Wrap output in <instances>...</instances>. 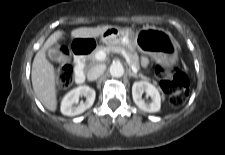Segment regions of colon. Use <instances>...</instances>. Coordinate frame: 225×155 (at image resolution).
<instances>
[{"label": "colon", "mask_w": 225, "mask_h": 155, "mask_svg": "<svg viewBox=\"0 0 225 155\" xmlns=\"http://www.w3.org/2000/svg\"><path fill=\"white\" fill-rule=\"evenodd\" d=\"M156 73L161 78V88L169 95V102L174 107L181 106L189 93V79L177 66L166 67L158 65ZM58 86H68L73 76V67L69 60V52L62 49L61 58L56 66Z\"/></svg>", "instance_id": "1"}]
</instances>
